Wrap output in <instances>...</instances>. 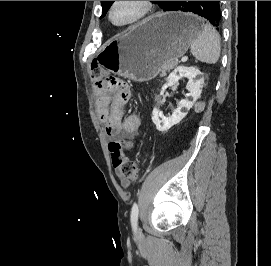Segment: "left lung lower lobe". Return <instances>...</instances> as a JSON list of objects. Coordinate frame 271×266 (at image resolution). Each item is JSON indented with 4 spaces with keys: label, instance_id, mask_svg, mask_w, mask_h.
<instances>
[{
    "label": "left lung lower lobe",
    "instance_id": "1",
    "mask_svg": "<svg viewBox=\"0 0 271 266\" xmlns=\"http://www.w3.org/2000/svg\"><path fill=\"white\" fill-rule=\"evenodd\" d=\"M192 12L206 18L213 26L219 29L221 10L219 1H170L163 11Z\"/></svg>",
    "mask_w": 271,
    "mask_h": 266
}]
</instances>
